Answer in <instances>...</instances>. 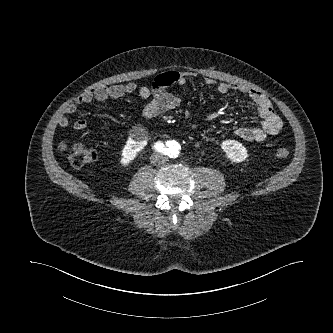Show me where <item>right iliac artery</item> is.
I'll return each instance as SVG.
<instances>
[{"mask_svg": "<svg viewBox=\"0 0 333 333\" xmlns=\"http://www.w3.org/2000/svg\"><path fill=\"white\" fill-rule=\"evenodd\" d=\"M154 147L158 151H163L164 145H163V143L158 142V143L155 144Z\"/></svg>", "mask_w": 333, "mask_h": 333, "instance_id": "right-iliac-artery-1", "label": "right iliac artery"}]
</instances>
